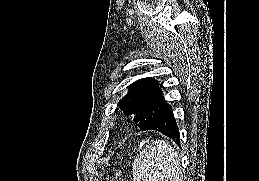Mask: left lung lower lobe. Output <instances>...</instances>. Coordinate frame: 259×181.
I'll return each instance as SVG.
<instances>
[{"instance_id": "1", "label": "left lung lower lobe", "mask_w": 259, "mask_h": 181, "mask_svg": "<svg viewBox=\"0 0 259 181\" xmlns=\"http://www.w3.org/2000/svg\"><path fill=\"white\" fill-rule=\"evenodd\" d=\"M145 130H156L180 145V136L172 108L168 103H165L157 117L145 128Z\"/></svg>"}]
</instances>
